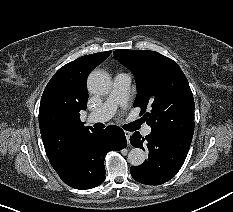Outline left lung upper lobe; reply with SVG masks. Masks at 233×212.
<instances>
[{
	"label": "left lung upper lobe",
	"instance_id": "obj_1",
	"mask_svg": "<svg viewBox=\"0 0 233 212\" xmlns=\"http://www.w3.org/2000/svg\"><path fill=\"white\" fill-rule=\"evenodd\" d=\"M114 57L129 67L138 84L134 107L153 132L177 134L192 138L194 132V99L189 83L178 64L154 51H114Z\"/></svg>",
	"mask_w": 233,
	"mask_h": 212
}]
</instances>
